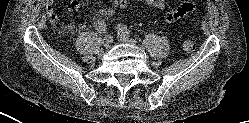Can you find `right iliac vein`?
Returning a JSON list of instances; mask_svg holds the SVG:
<instances>
[{
    "label": "right iliac vein",
    "instance_id": "obj_1",
    "mask_svg": "<svg viewBox=\"0 0 249 123\" xmlns=\"http://www.w3.org/2000/svg\"><path fill=\"white\" fill-rule=\"evenodd\" d=\"M113 42V37L111 35H106L104 40H103V44L105 47H109Z\"/></svg>",
    "mask_w": 249,
    "mask_h": 123
}]
</instances>
